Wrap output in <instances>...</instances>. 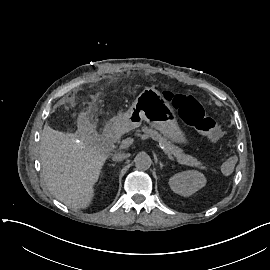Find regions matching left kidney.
<instances>
[{
    "label": "left kidney",
    "instance_id": "left-kidney-1",
    "mask_svg": "<svg viewBox=\"0 0 270 270\" xmlns=\"http://www.w3.org/2000/svg\"><path fill=\"white\" fill-rule=\"evenodd\" d=\"M205 177L198 171L178 173L170 179L171 189L183 196H190L205 186Z\"/></svg>",
    "mask_w": 270,
    "mask_h": 270
}]
</instances>
